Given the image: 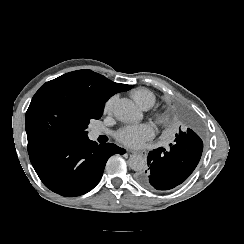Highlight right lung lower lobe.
I'll return each instance as SVG.
<instances>
[{"label":"right lung lower lobe","mask_w":244,"mask_h":244,"mask_svg":"<svg viewBox=\"0 0 244 244\" xmlns=\"http://www.w3.org/2000/svg\"><path fill=\"white\" fill-rule=\"evenodd\" d=\"M125 152L114 144L98 145L88 136H28L29 158L39 178L53 192L68 197L93 189L109 157Z\"/></svg>","instance_id":"1"}]
</instances>
